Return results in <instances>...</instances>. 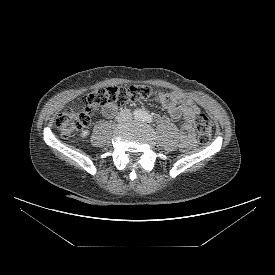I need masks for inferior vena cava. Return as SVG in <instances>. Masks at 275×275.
I'll return each mask as SVG.
<instances>
[{"instance_id": "1", "label": "inferior vena cava", "mask_w": 275, "mask_h": 275, "mask_svg": "<svg viewBox=\"0 0 275 275\" xmlns=\"http://www.w3.org/2000/svg\"><path fill=\"white\" fill-rule=\"evenodd\" d=\"M132 119V114L129 109L122 110L116 117L117 122H127Z\"/></svg>"}]
</instances>
